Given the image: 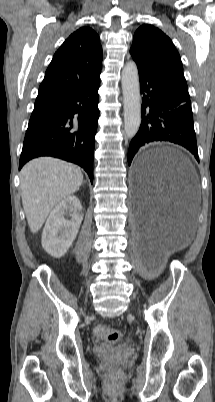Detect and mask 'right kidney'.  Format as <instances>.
I'll return each instance as SVG.
<instances>
[{
	"label": "right kidney",
	"instance_id": "1",
	"mask_svg": "<svg viewBox=\"0 0 215 402\" xmlns=\"http://www.w3.org/2000/svg\"><path fill=\"white\" fill-rule=\"evenodd\" d=\"M70 216V220L64 215ZM83 220L79 199L68 196L51 211L42 233L43 249L55 258L62 257L74 242Z\"/></svg>",
	"mask_w": 215,
	"mask_h": 402
}]
</instances>
